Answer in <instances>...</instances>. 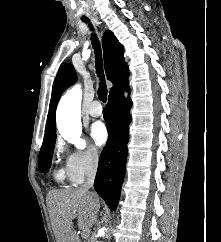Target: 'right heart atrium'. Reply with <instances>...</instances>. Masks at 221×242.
Masks as SVG:
<instances>
[{
  "instance_id": "obj_1",
  "label": "right heart atrium",
  "mask_w": 221,
  "mask_h": 242,
  "mask_svg": "<svg viewBox=\"0 0 221 242\" xmlns=\"http://www.w3.org/2000/svg\"><path fill=\"white\" fill-rule=\"evenodd\" d=\"M56 149L64 161L67 178L72 183L81 182L86 175L97 170L100 162L99 151L88 146L85 149H70L61 140L56 143Z\"/></svg>"
}]
</instances>
